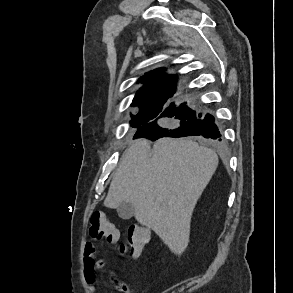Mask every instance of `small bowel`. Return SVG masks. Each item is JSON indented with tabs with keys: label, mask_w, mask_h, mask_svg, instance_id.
Segmentation results:
<instances>
[{
	"label": "small bowel",
	"mask_w": 293,
	"mask_h": 293,
	"mask_svg": "<svg viewBox=\"0 0 293 293\" xmlns=\"http://www.w3.org/2000/svg\"><path fill=\"white\" fill-rule=\"evenodd\" d=\"M85 255L83 259V273L87 288L90 293H98V284L96 278V271L104 268L105 260L95 256V246L92 242L85 243ZM115 287L119 293H130L127 284L120 283L113 280Z\"/></svg>",
	"instance_id": "c3829d8e"
}]
</instances>
